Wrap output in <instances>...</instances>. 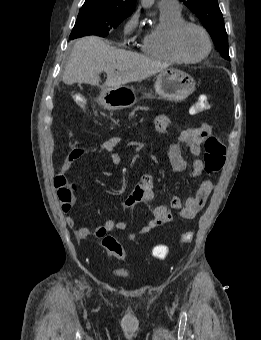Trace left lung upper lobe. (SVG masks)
<instances>
[{
  "mask_svg": "<svg viewBox=\"0 0 261 340\" xmlns=\"http://www.w3.org/2000/svg\"><path fill=\"white\" fill-rule=\"evenodd\" d=\"M200 19L209 32L216 49L229 60L228 38L217 0H180Z\"/></svg>",
  "mask_w": 261,
  "mask_h": 340,
  "instance_id": "obj_1",
  "label": "left lung upper lobe"
}]
</instances>
